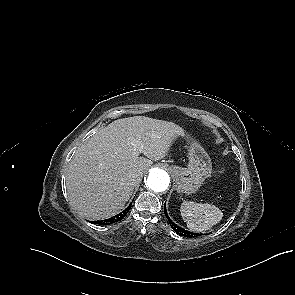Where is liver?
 I'll return each instance as SVG.
<instances>
[{
  "label": "liver",
  "instance_id": "obj_1",
  "mask_svg": "<svg viewBox=\"0 0 295 295\" xmlns=\"http://www.w3.org/2000/svg\"><path fill=\"white\" fill-rule=\"evenodd\" d=\"M183 135L175 123L145 116L118 119L101 128L70 162L66 187L71 206L91 220L114 216L143 172L153 161L165 158Z\"/></svg>",
  "mask_w": 295,
  "mask_h": 295
}]
</instances>
